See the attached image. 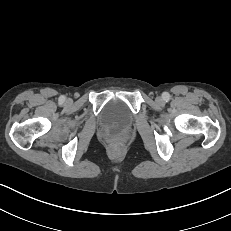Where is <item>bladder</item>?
<instances>
[{"instance_id":"1","label":"bladder","mask_w":231,"mask_h":231,"mask_svg":"<svg viewBox=\"0 0 231 231\" xmlns=\"http://www.w3.org/2000/svg\"><path fill=\"white\" fill-rule=\"evenodd\" d=\"M100 120L105 127L112 129H124L133 120L130 110L122 102L113 100L103 108Z\"/></svg>"}]
</instances>
